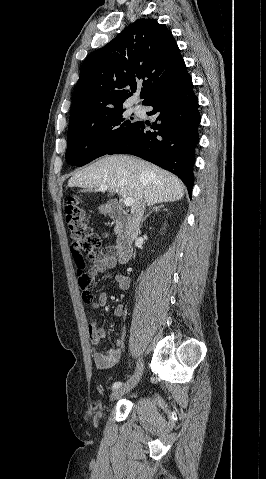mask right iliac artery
<instances>
[{"instance_id": "obj_1", "label": "right iliac artery", "mask_w": 266, "mask_h": 479, "mask_svg": "<svg viewBox=\"0 0 266 479\" xmlns=\"http://www.w3.org/2000/svg\"><path fill=\"white\" fill-rule=\"evenodd\" d=\"M120 386H122V383H121V382H115V383L113 384V388H114V389H115V388H118V387H120Z\"/></svg>"}]
</instances>
